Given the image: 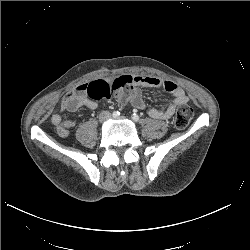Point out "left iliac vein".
Instances as JSON below:
<instances>
[{
    "label": "left iliac vein",
    "instance_id": "obj_1",
    "mask_svg": "<svg viewBox=\"0 0 250 250\" xmlns=\"http://www.w3.org/2000/svg\"><path fill=\"white\" fill-rule=\"evenodd\" d=\"M115 119H116V120H125V119H126V117H124V116H120V117H116Z\"/></svg>",
    "mask_w": 250,
    "mask_h": 250
}]
</instances>
